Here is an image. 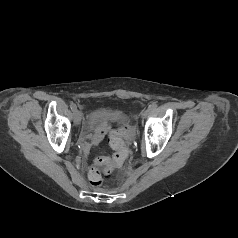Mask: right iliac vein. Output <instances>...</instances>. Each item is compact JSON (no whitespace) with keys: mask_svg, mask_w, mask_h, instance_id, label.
Segmentation results:
<instances>
[{"mask_svg":"<svg viewBox=\"0 0 238 238\" xmlns=\"http://www.w3.org/2000/svg\"><path fill=\"white\" fill-rule=\"evenodd\" d=\"M73 120L76 125L80 123V114L78 112L73 113Z\"/></svg>","mask_w":238,"mask_h":238,"instance_id":"63e3f726","label":"right iliac vein"}]
</instances>
